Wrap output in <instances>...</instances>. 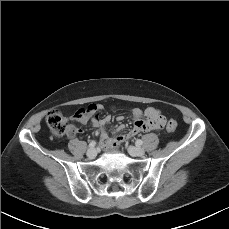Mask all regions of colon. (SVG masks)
<instances>
[{"mask_svg": "<svg viewBox=\"0 0 229 229\" xmlns=\"http://www.w3.org/2000/svg\"><path fill=\"white\" fill-rule=\"evenodd\" d=\"M97 107L95 105H89L87 108L81 109L80 112L83 114H91L95 112ZM146 124L149 128L160 127L164 123V117L155 109H148L146 111ZM46 122L51 132L56 137H63L69 130V126L63 120L60 112L51 111L48 113ZM177 129V123L175 121H169L166 125V130L169 133L174 132Z\"/></svg>", "mask_w": 229, "mask_h": 229, "instance_id": "1", "label": "colon"}]
</instances>
